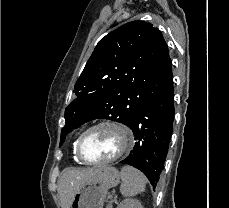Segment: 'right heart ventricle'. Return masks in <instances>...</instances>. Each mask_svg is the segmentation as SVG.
<instances>
[{"instance_id":"1","label":"right heart ventricle","mask_w":229,"mask_h":208,"mask_svg":"<svg viewBox=\"0 0 229 208\" xmlns=\"http://www.w3.org/2000/svg\"><path fill=\"white\" fill-rule=\"evenodd\" d=\"M77 140H78V137H76L72 143V157L76 163L84 164V162L80 158H77V153H76Z\"/></svg>"}]
</instances>
